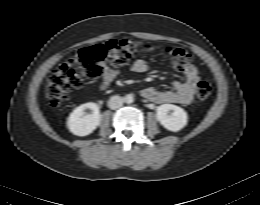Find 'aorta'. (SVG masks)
Masks as SVG:
<instances>
[{
	"label": "aorta",
	"instance_id": "obj_1",
	"mask_svg": "<svg viewBox=\"0 0 260 205\" xmlns=\"http://www.w3.org/2000/svg\"><path fill=\"white\" fill-rule=\"evenodd\" d=\"M134 101L133 95L132 94H128L124 97V102L130 104Z\"/></svg>",
	"mask_w": 260,
	"mask_h": 205
}]
</instances>
